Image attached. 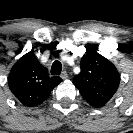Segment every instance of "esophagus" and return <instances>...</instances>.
Segmentation results:
<instances>
[{
  "label": "esophagus",
  "instance_id": "esophagus-1",
  "mask_svg": "<svg viewBox=\"0 0 133 133\" xmlns=\"http://www.w3.org/2000/svg\"><path fill=\"white\" fill-rule=\"evenodd\" d=\"M61 78H62L63 80H65V79L68 78V74H67L66 71H63V72H62V74H61Z\"/></svg>",
  "mask_w": 133,
  "mask_h": 133
}]
</instances>
